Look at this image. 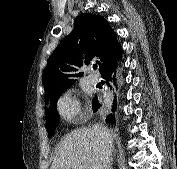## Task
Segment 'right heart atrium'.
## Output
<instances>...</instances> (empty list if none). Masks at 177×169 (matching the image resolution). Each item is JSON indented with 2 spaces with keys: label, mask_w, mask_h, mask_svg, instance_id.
Instances as JSON below:
<instances>
[{
  "label": "right heart atrium",
  "mask_w": 177,
  "mask_h": 169,
  "mask_svg": "<svg viewBox=\"0 0 177 169\" xmlns=\"http://www.w3.org/2000/svg\"><path fill=\"white\" fill-rule=\"evenodd\" d=\"M57 109L61 117L68 121L82 117L79 101L70 92H66L60 97Z\"/></svg>",
  "instance_id": "1"
}]
</instances>
